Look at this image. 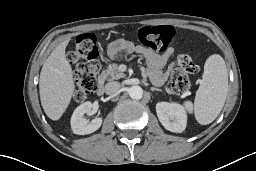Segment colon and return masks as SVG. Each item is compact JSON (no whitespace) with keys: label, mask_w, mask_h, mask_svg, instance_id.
<instances>
[{"label":"colon","mask_w":256,"mask_h":171,"mask_svg":"<svg viewBox=\"0 0 256 171\" xmlns=\"http://www.w3.org/2000/svg\"><path fill=\"white\" fill-rule=\"evenodd\" d=\"M174 36L171 26H143L138 31L139 42L153 52L165 51ZM99 48L93 33L78 36L69 58L76 65L74 100L85 101L97 87L100 64L97 60ZM197 65L188 54H180L171 65V83L177 93H186L191 89L190 75L196 73Z\"/></svg>","instance_id":"colon-1"}]
</instances>
